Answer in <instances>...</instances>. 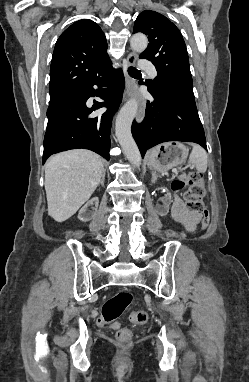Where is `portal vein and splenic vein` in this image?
I'll return each mask as SVG.
<instances>
[{
  "instance_id": "18ae733b",
  "label": "portal vein and splenic vein",
  "mask_w": 249,
  "mask_h": 382,
  "mask_svg": "<svg viewBox=\"0 0 249 382\" xmlns=\"http://www.w3.org/2000/svg\"><path fill=\"white\" fill-rule=\"evenodd\" d=\"M173 172L175 173V175H177V173H178V171L175 169V170H173Z\"/></svg>"
}]
</instances>
